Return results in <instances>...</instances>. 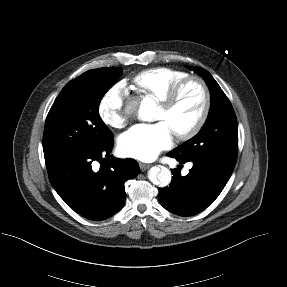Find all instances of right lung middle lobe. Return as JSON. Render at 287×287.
Returning a JSON list of instances; mask_svg holds the SVG:
<instances>
[{"label": "right lung middle lobe", "instance_id": "dd1d6c3e", "mask_svg": "<svg viewBox=\"0 0 287 287\" xmlns=\"http://www.w3.org/2000/svg\"><path fill=\"white\" fill-rule=\"evenodd\" d=\"M121 73L120 67L90 70L62 89L45 122V162L101 147L113 137L101 120L98 108Z\"/></svg>", "mask_w": 287, "mask_h": 287}]
</instances>
